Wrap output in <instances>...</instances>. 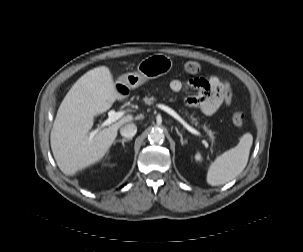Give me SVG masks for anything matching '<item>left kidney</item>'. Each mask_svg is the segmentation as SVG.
I'll return each instance as SVG.
<instances>
[{
	"label": "left kidney",
	"instance_id": "obj_1",
	"mask_svg": "<svg viewBox=\"0 0 303 252\" xmlns=\"http://www.w3.org/2000/svg\"><path fill=\"white\" fill-rule=\"evenodd\" d=\"M195 160H196V161H199V162L202 160V156H201L200 153H197V154L195 155Z\"/></svg>",
	"mask_w": 303,
	"mask_h": 252
}]
</instances>
